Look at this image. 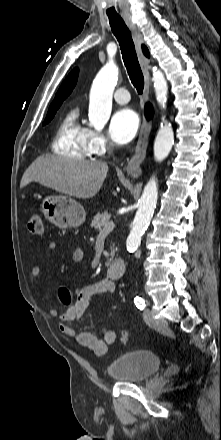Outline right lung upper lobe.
Instances as JSON below:
<instances>
[{"mask_svg": "<svg viewBox=\"0 0 221 440\" xmlns=\"http://www.w3.org/2000/svg\"><path fill=\"white\" fill-rule=\"evenodd\" d=\"M144 54L149 57L148 49L143 45L142 46ZM78 68L73 69L70 74L67 76V78L64 80L62 85L60 86L52 104L49 107L50 111L51 109L60 106L63 102V100L72 92V89L75 87L77 78H78Z\"/></svg>", "mask_w": 221, "mask_h": 440, "instance_id": "1", "label": "right lung upper lobe"}]
</instances>
